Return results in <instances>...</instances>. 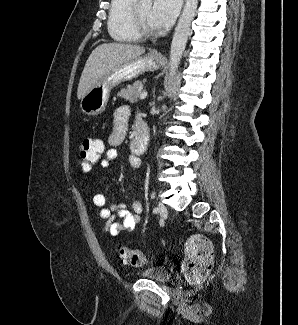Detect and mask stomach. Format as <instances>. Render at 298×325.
Instances as JSON below:
<instances>
[{
	"label": "stomach",
	"mask_w": 298,
	"mask_h": 325,
	"mask_svg": "<svg viewBox=\"0 0 298 325\" xmlns=\"http://www.w3.org/2000/svg\"><path fill=\"white\" fill-rule=\"evenodd\" d=\"M166 62L165 58L158 56V52H146L142 56H136L129 62L118 64L107 72L99 82L80 98L79 106L84 114H101L106 108L109 100L110 92L114 86H118L125 80H134L137 76H141L144 72H154L159 70L162 64Z\"/></svg>",
	"instance_id": "0dacf381"
}]
</instances>
